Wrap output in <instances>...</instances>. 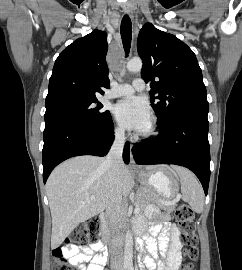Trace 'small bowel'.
Instances as JSON below:
<instances>
[{"instance_id": "small-bowel-1", "label": "small bowel", "mask_w": 242, "mask_h": 270, "mask_svg": "<svg viewBox=\"0 0 242 270\" xmlns=\"http://www.w3.org/2000/svg\"><path fill=\"white\" fill-rule=\"evenodd\" d=\"M134 228L141 237L138 244L145 247L149 256L146 264L149 268L157 266L159 252L164 261L158 264L160 270H178L180 265V229L170 222V216L161 214L155 207L147 211V218L135 221ZM104 242L97 241L88 246L74 245L64 249L65 256L78 270H104L107 257L103 252Z\"/></svg>"}]
</instances>
